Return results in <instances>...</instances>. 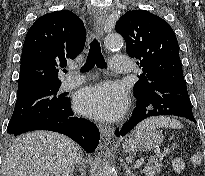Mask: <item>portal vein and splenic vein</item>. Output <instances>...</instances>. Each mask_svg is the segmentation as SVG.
Listing matches in <instances>:
<instances>
[{"label":"portal vein and splenic vein","instance_id":"portal-vein-and-splenic-vein-1","mask_svg":"<svg viewBox=\"0 0 205 176\" xmlns=\"http://www.w3.org/2000/svg\"><path fill=\"white\" fill-rule=\"evenodd\" d=\"M165 153L161 154V156H164ZM144 159H140L135 163V168L138 169L143 164Z\"/></svg>","mask_w":205,"mask_h":176}]
</instances>
